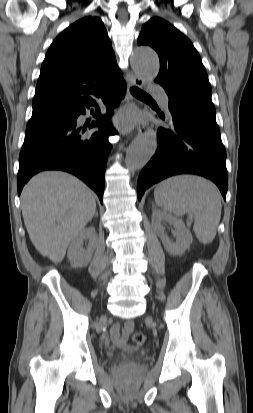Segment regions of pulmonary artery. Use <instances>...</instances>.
<instances>
[{"label":"pulmonary artery","mask_w":253,"mask_h":413,"mask_svg":"<svg viewBox=\"0 0 253 413\" xmlns=\"http://www.w3.org/2000/svg\"><path fill=\"white\" fill-rule=\"evenodd\" d=\"M148 91L152 94H154L155 96H157V98L159 99V102L161 104V106L165 109L168 110V106H169V99L168 96L166 94V92L158 86H150L148 88Z\"/></svg>","instance_id":"pulmonary-artery-1"}]
</instances>
